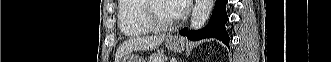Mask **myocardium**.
<instances>
[{"label": "myocardium", "mask_w": 331, "mask_h": 62, "mask_svg": "<svg viewBox=\"0 0 331 62\" xmlns=\"http://www.w3.org/2000/svg\"><path fill=\"white\" fill-rule=\"evenodd\" d=\"M154 2L155 0H143L142 19L144 23L154 31H166L174 28L178 23V19L171 22L160 21L153 12Z\"/></svg>", "instance_id": "1"}]
</instances>
